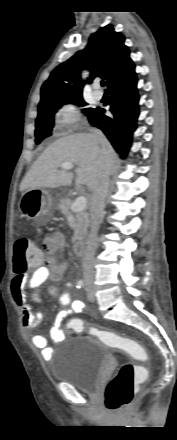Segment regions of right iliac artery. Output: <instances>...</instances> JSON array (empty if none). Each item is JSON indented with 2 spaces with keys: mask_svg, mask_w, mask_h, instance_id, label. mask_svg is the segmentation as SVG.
<instances>
[{
  "mask_svg": "<svg viewBox=\"0 0 177 440\" xmlns=\"http://www.w3.org/2000/svg\"><path fill=\"white\" fill-rule=\"evenodd\" d=\"M83 285H84V282H83V280H79L78 282H77V288H82L83 287Z\"/></svg>",
  "mask_w": 177,
  "mask_h": 440,
  "instance_id": "obj_1",
  "label": "right iliac artery"
}]
</instances>
